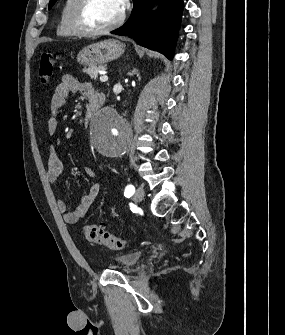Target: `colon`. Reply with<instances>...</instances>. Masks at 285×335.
<instances>
[{
	"instance_id": "1",
	"label": "colon",
	"mask_w": 285,
	"mask_h": 335,
	"mask_svg": "<svg viewBox=\"0 0 285 335\" xmlns=\"http://www.w3.org/2000/svg\"><path fill=\"white\" fill-rule=\"evenodd\" d=\"M58 55L52 52L43 53L40 57L38 76L43 84H48L53 76ZM85 238L94 244L104 245L112 250H122L128 246V242L114 236L103 227L89 224L84 227Z\"/></svg>"
}]
</instances>
